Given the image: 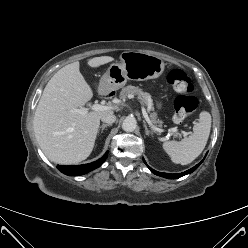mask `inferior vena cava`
<instances>
[{
    "mask_svg": "<svg viewBox=\"0 0 248 248\" xmlns=\"http://www.w3.org/2000/svg\"><path fill=\"white\" fill-rule=\"evenodd\" d=\"M101 121L107 124H112L116 121V116L113 114L104 115L101 117Z\"/></svg>",
    "mask_w": 248,
    "mask_h": 248,
    "instance_id": "602c4592",
    "label": "inferior vena cava"
}]
</instances>
